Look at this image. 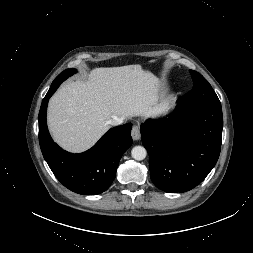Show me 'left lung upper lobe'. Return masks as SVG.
Returning a JSON list of instances; mask_svg holds the SVG:
<instances>
[{
    "label": "left lung upper lobe",
    "mask_w": 253,
    "mask_h": 253,
    "mask_svg": "<svg viewBox=\"0 0 253 253\" xmlns=\"http://www.w3.org/2000/svg\"><path fill=\"white\" fill-rule=\"evenodd\" d=\"M193 79V89L179 98V102L187 104L221 105L216 93L208 81L198 72L189 70Z\"/></svg>",
    "instance_id": "1"
}]
</instances>
